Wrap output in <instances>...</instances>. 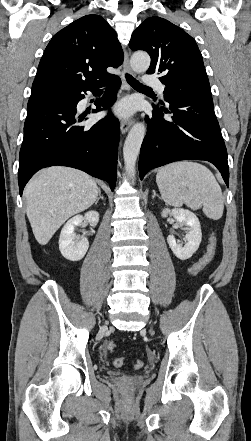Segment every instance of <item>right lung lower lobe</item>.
<instances>
[{
  "instance_id": "obj_1",
  "label": "right lung lower lobe",
  "mask_w": 251,
  "mask_h": 441,
  "mask_svg": "<svg viewBox=\"0 0 251 441\" xmlns=\"http://www.w3.org/2000/svg\"><path fill=\"white\" fill-rule=\"evenodd\" d=\"M106 84L104 96L95 103L97 109L93 112H97L115 102L121 84L119 77L112 75L97 86L81 90L30 96L19 155L20 195L34 173L53 165L80 169L107 181L114 190L120 136L118 120L108 114L90 127L77 125L84 117L76 116L83 92L95 93Z\"/></svg>"
}]
</instances>
